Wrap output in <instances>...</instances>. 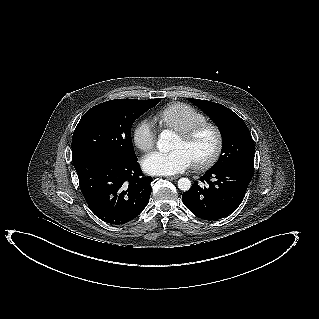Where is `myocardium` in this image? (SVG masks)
<instances>
[{
    "label": "myocardium",
    "mask_w": 319,
    "mask_h": 319,
    "mask_svg": "<svg viewBox=\"0 0 319 319\" xmlns=\"http://www.w3.org/2000/svg\"><path fill=\"white\" fill-rule=\"evenodd\" d=\"M204 130H209L212 132L214 136V147L207 158L192 162L194 168L198 170L209 169L220 158L222 150H223V143H224L221 129L216 124L205 121V122L197 123L187 129L177 132V135L180 136L183 140L190 141Z\"/></svg>",
    "instance_id": "myocardium-1"
}]
</instances>
